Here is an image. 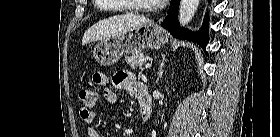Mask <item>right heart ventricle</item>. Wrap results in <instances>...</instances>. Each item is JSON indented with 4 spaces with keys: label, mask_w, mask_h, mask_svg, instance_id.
I'll list each match as a JSON object with an SVG mask.
<instances>
[{
    "label": "right heart ventricle",
    "mask_w": 280,
    "mask_h": 137,
    "mask_svg": "<svg viewBox=\"0 0 280 137\" xmlns=\"http://www.w3.org/2000/svg\"><path fill=\"white\" fill-rule=\"evenodd\" d=\"M97 2H106L107 0H96ZM122 1V0H120ZM120 11H129V8L128 7H123V9H121Z\"/></svg>",
    "instance_id": "obj_1"
}]
</instances>
